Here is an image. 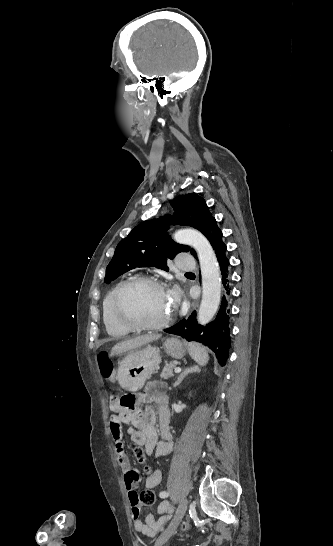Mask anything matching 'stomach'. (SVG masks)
I'll list each match as a JSON object with an SVG mask.
<instances>
[{
    "label": "stomach",
    "mask_w": 333,
    "mask_h": 546,
    "mask_svg": "<svg viewBox=\"0 0 333 546\" xmlns=\"http://www.w3.org/2000/svg\"><path fill=\"white\" fill-rule=\"evenodd\" d=\"M165 352L175 358L181 359L189 351L186 343L177 338H167L163 343ZM161 357L158 349L147 346L129 352L118 363V381L128 391L140 390L146 380L158 369Z\"/></svg>",
    "instance_id": "1"
}]
</instances>
